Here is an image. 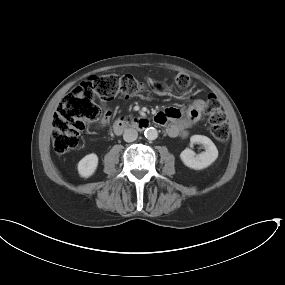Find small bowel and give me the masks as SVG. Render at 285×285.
I'll list each match as a JSON object with an SVG mask.
<instances>
[{
    "mask_svg": "<svg viewBox=\"0 0 285 285\" xmlns=\"http://www.w3.org/2000/svg\"><path fill=\"white\" fill-rule=\"evenodd\" d=\"M105 114L109 117L111 110L103 103ZM158 114L163 115L166 118L167 126L166 132L170 136L184 135L185 129L194 120H198L202 116V102L197 101L191 105L187 111H181L176 107L169 106L161 110Z\"/></svg>",
    "mask_w": 285,
    "mask_h": 285,
    "instance_id": "c3829d8e",
    "label": "small bowel"
}]
</instances>
